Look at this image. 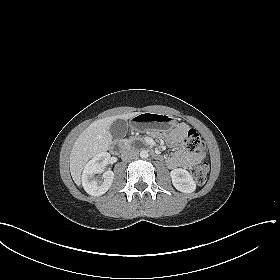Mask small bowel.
I'll return each mask as SVG.
<instances>
[{
    "label": "small bowel",
    "instance_id": "1",
    "mask_svg": "<svg viewBox=\"0 0 280 280\" xmlns=\"http://www.w3.org/2000/svg\"><path fill=\"white\" fill-rule=\"evenodd\" d=\"M189 127L181 123L169 135L168 141L175 146L174 153L167 159L169 168L190 167L204 160V154H195L186 150L184 147V138Z\"/></svg>",
    "mask_w": 280,
    "mask_h": 280
}]
</instances>
